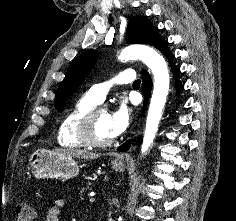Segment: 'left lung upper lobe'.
<instances>
[{
    "instance_id": "1",
    "label": "left lung upper lobe",
    "mask_w": 236,
    "mask_h": 221,
    "mask_svg": "<svg viewBox=\"0 0 236 221\" xmlns=\"http://www.w3.org/2000/svg\"><path fill=\"white\" fill-rule=\"evenodd\" d=\"M158 29L152 27L151 22L143 16L133 17L127 27L126 42L128 44L153 45L158 39ZM97 60V51H87L76 57L69 66L65 79L60 83L56 97L55 108L63 111L66 100L73 95L78 87L84 82Z\"/></svg>"
}]
</instances>
